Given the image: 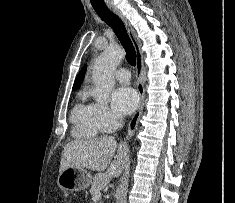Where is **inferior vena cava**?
Masks as SVG:
<instances>
[{"mask_svg":"<svg viewBox=\"0 0 235 203\" xmlns=\"http://www.w3.org/2000/svg\"><path fill=\"white\" fill-rule=\"evenodd\" d=\"M119 125L122 126V119H119Z\"/></svg>","mask_w":235,"mask_h":203,"instance_id":"obj_1","label":"inferior vena cava"}]
</instances>
